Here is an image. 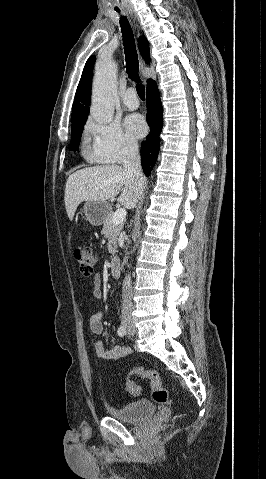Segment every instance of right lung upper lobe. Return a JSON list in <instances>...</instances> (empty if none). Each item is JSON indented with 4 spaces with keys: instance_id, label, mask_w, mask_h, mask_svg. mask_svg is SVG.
Returning <instances> with one entry per match:
<instances>
[{
    "instance_id": "right-lung-upper-lobe-1",
    "label": "right lung upper lobe",
    "mask_w": 266,
    "mask_h": 479,
    "mask_svg": "<svg viewBox=\"0 0 266 479\" xmlns=\"http://www.w3.org/2000/svg\"><path fill=\"white\" fill-rule=\"evenodd\" d=\"M139 49L141 55L145 59L147 63L150 62L149 57V43L144 36L139 38ZM95 56H90L87 60L79 85L77 87V91L75 94L76 100L73 102L72 106V123L87 119L89 113V104L91 99V81H92V74H93V66L95 61ZM155 81L149 79L147 81V86Z\"/></svg>"
}]
</instances>
